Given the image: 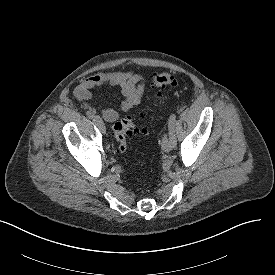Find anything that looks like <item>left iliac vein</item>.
Here are the masks:
<instances>
[{
	"label": "left iliac vein",
	"instance_id": "obj_1",
	"mask_svg": "<svg viewBox=\"0 0 275 275\" xmlns=\"http://www.w3.org/2000/svg\"><path fill=\"white\" fill-rule=\"evenodd\" d=\"M161 147L165 152H169L170 150H172V148L174 147V144L170 136H165L163 138Z\"/></svg>",
	"mask_w": 275,
	"mask_h": 275
}]
</instances>
